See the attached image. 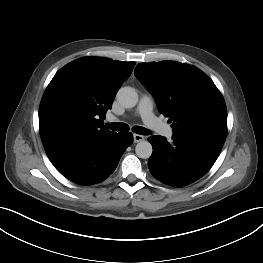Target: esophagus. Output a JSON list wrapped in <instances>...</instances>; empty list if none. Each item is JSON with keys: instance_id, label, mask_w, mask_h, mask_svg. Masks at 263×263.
Masks as SVG:
<instances>
[{"instance_id": "1", "label": "esophagus", "mask_w": 263, "mask_h": 263, "mask_svg": "<svg viewBox=\"0 0 263 263\" xmlns=\"http://www.w3.org/2000/svg\"><path fill=\"white\" fill-rule=\"evenodd\" d=\"M133 138H134V142L137 143V142H140V141H143L144 140V136L142 135H139V134H134L133 135Z\"/></svg>"}]
</instances>
